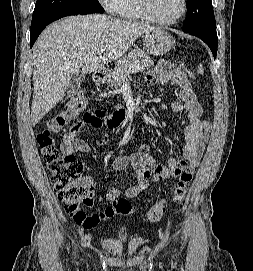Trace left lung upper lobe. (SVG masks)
<instances>
[{
  "label": "left lung upper lobe",
  "mask_w": 253,
  "mask_h": 271,
  "mask_svg": "<svg viewBox=\"0 0 253 271\" xmlns=\"http://www.w3.org/2000/svg\"><path fill=\"white\" fill-rule=\"evenodd\" d=\"M187 10L183 29L216 28L211 0H187Z\"/></svg>",
  "instance_id": "5c2ea615"
}]
</instances>
